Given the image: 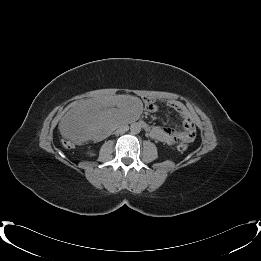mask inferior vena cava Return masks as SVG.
<instances>
[{"label":"inferior vena cava","instance_id":"obj_1","mask_svg":"<svg viewBox=\"0 0 261 261\" xmlns=\"http://www.w3.org/2000/svg\"><path fill=\"white\" fill-rule=\"evenodd\" d=\"M129 130V126L127 124H121L117 130L118 133H125L126 131Z\"/></svg>","mask_w":261,"mask_h":261}]
</instances>
